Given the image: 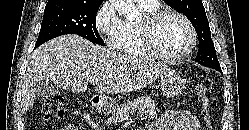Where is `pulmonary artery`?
<instances>
[{
  "mask_svg": "<svg viewBox=\"0 0 249 130\" xmlns=\"http://www.w3.org/2000/svg\"><path fill=\"white\" fill-rule=\"evenodd\" d=\"M137 3H142L149 6H157L158 0H135Z\"/></svg>",
  "mask_w": 249,
  "mask_h": 130,
  "instance_id": "obj_1",
  "label": "pulmonary artery"
}]
</instances>
